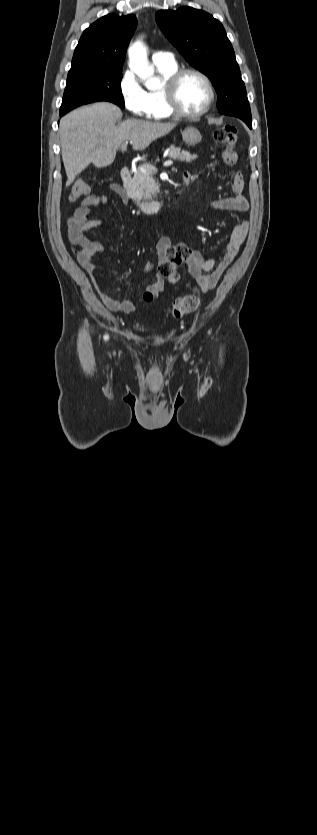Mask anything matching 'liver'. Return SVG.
<instances>
[{"label":"liver","mask_w":317,"mask_h":835,"mask_svg":"<svg viewBox=\"0 0 317 835\" xmlns=\"http://www.w3.org/2000/svg\"><path fill=\"white\" fill-rule=\"evenodd\" d=\"M121 117L119 107L99 102L75 109L61 119L59 136L67 186L90 163L99 168L112 164L125 142L130 141L133 150L142 151L177 125L138 119L116 125Z\"/></svg>","instance_id":"obj_1"}]
</instances>
